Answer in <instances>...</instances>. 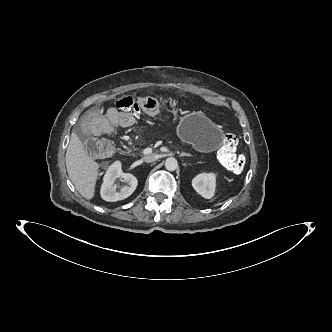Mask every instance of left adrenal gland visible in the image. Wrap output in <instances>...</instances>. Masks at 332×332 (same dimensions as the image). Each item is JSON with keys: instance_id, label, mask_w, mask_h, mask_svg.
<instances>
[{"instance_id": "1", "label": "left adrenal gland", "mask_w": 332, "mask_h": 332, "mask_svg": "<svg viewBox=\"0 0 332 332\" xmlns=\"http://www.w3.org/2000/svg\"><path fill=\"white\" fill-rule=\"evenodd\" d=\"M180 156H181V157H183V156L191 157V154H188V153H180Z\"/></svg>"}]
</instances>
